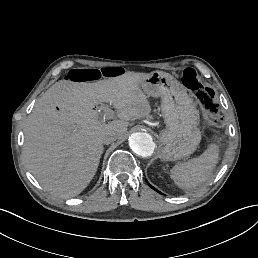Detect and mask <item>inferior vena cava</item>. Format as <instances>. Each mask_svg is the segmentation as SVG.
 Instances as JSON below:
<instances>
[{"instance_id": "602c4592", "label": "inferior vena cava", "mask_w": 258, "mask_h": 258, "mask_svg": "<svg viewBox=\"0 0 258 258\" xmlns=\"http://www.w3.org/2000/svg\"><path fill=\"white\" fill-rule=\"evenodd\" d=\"M119 135L114 132V131H107L103 136H102V142L104 144H110L117 140Z\"/></svg>"}]
</instances>
